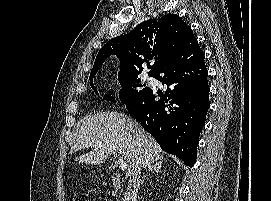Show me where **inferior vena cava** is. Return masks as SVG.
<instances>
[{
    "instance_id": "1",
    "label": "inferior vena cava",
    "mask_w": 271,
    "mask_h": 201,
    "mask_svg": "<svg viewBox=\"0 0 271 201\" xmlns=\"http://www.w3.org/2000/svg\"><path fill=\"white\" fill-rule=\"evenodd\" d=\"M141 170L142 163L140 162V165L137 166L134 175L129 180V184L124 194L123 201H137V193L141 184Z\"/></svg>"
}]
</instances>
